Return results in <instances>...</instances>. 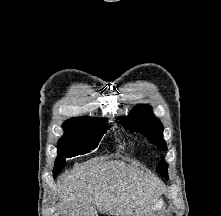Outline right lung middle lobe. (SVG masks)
Segmentation results:
<instances>
[{
	"label": "right lung middle lobe",
	"mask_w": 221,
	"mask_h": 216,
	"mask_svg": "<svg viewBox=\"0 0 221 216\" xmlns=\"http://www.w3.org/2000/svg\"><path fill=\"white\" fill-rule=\"evenodd\" d=\"M108 119L82 118L63 125L64 135L58 141V157L55 161L54 177L65 166V158L83 155L95 148L110 128Z\"/></svg>",
	"instance_id": "right-lung-middle-lobe-1"
}]
</instances>
